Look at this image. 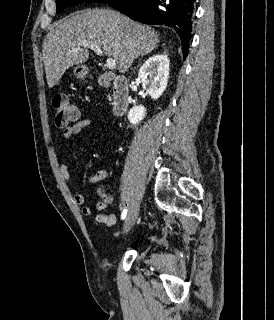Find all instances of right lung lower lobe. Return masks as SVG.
Listing matches in <instances>:
<instances>
[{
	"label": "right lung lower lobe",
	"instance_id": "right-lung-lower-lobe-1",
	"mask_svg": "<svg viewBox=\"0 0 274 320\" xmlns=\"http://www.w3.org/2000/svg\"><path fill=\"white\" fill-rule=\"evenodd\" d=\"M107 4L133 20L174 28L181 39L183 57L188 55L195 0H111Z\"/></svg>",
	"mask_w": 274,
	"mask_h": 320
}]
</instances>
